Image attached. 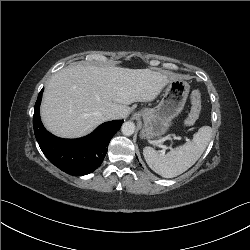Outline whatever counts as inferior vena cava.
<instances>
[{"instance_id":"1","label":"inferior vena cava","mask_w":250,"mask_h":250,"mask_svg":"<svg viewBox=\"0 0 250 250\" xmlns=\"http://www.w3.org/2000/svg\"><path fill=\"white\" fill-rule=\"evenodd\" d=\"M107 118L110 119H116L117 118V113L115 111H110L107 113Z\"/></svg>"}]
</instances>
